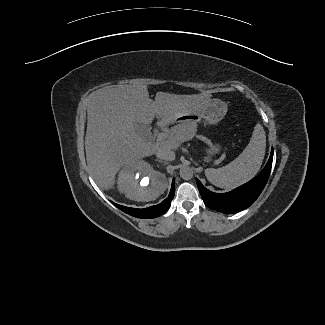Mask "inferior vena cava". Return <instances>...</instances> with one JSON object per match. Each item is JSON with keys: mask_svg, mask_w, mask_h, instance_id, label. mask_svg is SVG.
<instances>
[{"mask_svg": "<svg viewBox=\"0 0 325 325\" xmlns=\"http://www.w3.org/2000/svg\"><path fill=\"white\" fill-rule=\"evenodd\" d=\"M156 156L162 160L173 161L175 159V153L172 150L161 148L156 152Z\"/></svg>", "mask_w": 325, "mask_h": 325, "instance_id": "602c4592", "label": "inferior vena cava"}]
</instances>
